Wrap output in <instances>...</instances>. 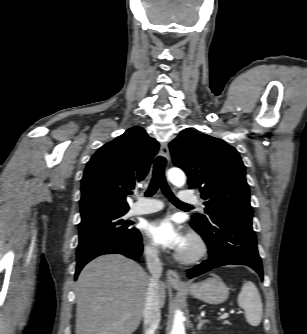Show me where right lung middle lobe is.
<instances>
[{"label":"right lung middle lobe","instance_id":"1","mask_svg":"<svg viewBox=\"0 0 307 334\" xmlns=\"http://www.w3.org/2000/svg\"><path fill=\"white\" fill-rule=\"evenodd\" d=\"M126 213L104 211L82 216L77 259L99 248L123 246L134 241L140 233L124 218Z\"/></svg>","mask_w":307,"mask_h":334}]
</instances>
